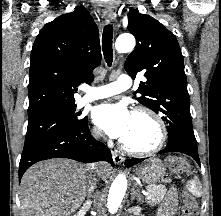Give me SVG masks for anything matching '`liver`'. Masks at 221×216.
<instances>
[{"mask_svg": "<svg viewBox=\"0 0 221 216\" xmlns=\"http://www.w3.org/2000/svg\"><path fill=\"white\" fill-rule=\"evenodd\" d=\"M106 179L111 167L93 165ZM90 167L69 159H50L30 167L20 183L21 216H69L83 203Z\"/></svg>", "mask_w": 221, "mask_h": 216, "instance_id": "liver-1", "label": "liver"}]
</instances>
